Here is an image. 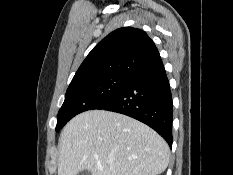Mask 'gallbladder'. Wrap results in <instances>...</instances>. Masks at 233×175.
<instances>
[{
  "instance_id": "gallbladder-1",
  "label": "gallbladder",
  "mask_w": 233,
  "mask_h": 175,
  "mask_svg": "<svg viewBox=\"0 0 233 175\" xmlns=\"http://www.w3.org/2000/svg\"><path fill=\"white\" fill-rule=\"evenodd\" d=\"M78 175H92L90 171L88 170H83L81 171Z\"/></svg>"
}]
</instances>
